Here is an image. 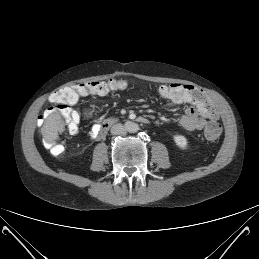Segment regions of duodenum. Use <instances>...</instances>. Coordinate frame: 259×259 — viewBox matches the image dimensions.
Returning <instances> with one entry per match:
<instances>
[{
    "instance_id": "duodenum-1",
    "label": "duodenum",
    "mask_w": 259,
    "mask_h": 259,
    "mask_svg": "<svg viewBox=\"0 0 259 259\" xmlns=\"http://www.w3.org/2000/svg\"><path fill=\"white\" fill-rule=\"evenodd\" d=\"M136 122L142 123V124H147L149 122L148 118L143 117V116H138L136 118L133 119ZM118 122V120L116 118H110L105 120L101 125H100V130H99V134L98 137L101 138L103 137L108 130ZM127 122H130L129 120Z\"/></svg>"
}]
</instances>
